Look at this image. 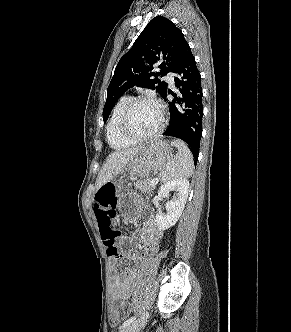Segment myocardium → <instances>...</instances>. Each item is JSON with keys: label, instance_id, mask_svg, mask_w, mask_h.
I'll list each match as a JSON object with an SVG mask.
<instances>
[{"label": "myocardium", "instance_id": "obj_1", "mask_svg": "<svg viewBox=\"0 0 291 332\" xmlns=\"http://www.w3.org/2000/svg\"><path fill=\"white\" fill-rule=\"evenodd\" d=\"M152 102L154 103L160 111V125L158 129L153 132L152 134L145 135V136H140L132 133L129 129V121H130V116L135 108V106L141 102ZM167 124V117H166V108L165 105L157 98L150 96V95H141L134 97L130 100V102L127 104L125 107L121 119H120V131L122 135L127 138L128 140H131L133 142H144V141H149L153 140L157 137H159L162 132L165 130Z\"/></svg>", "mask_w": 291, "mask_h": 332}]
</instances>
